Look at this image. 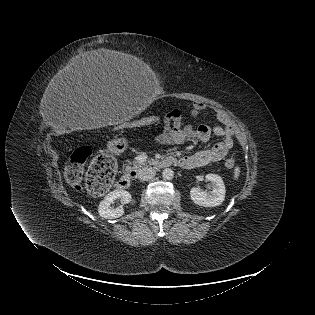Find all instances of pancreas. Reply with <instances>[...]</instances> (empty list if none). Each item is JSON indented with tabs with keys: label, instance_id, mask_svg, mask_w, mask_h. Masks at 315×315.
<instances>
[{
	"label": "pancreas",
	"instance_id": "1",
	"mask_svg": "<svg viewBox=\"0 0 315 315\" xmlns=\"http://www.w3.org/2000/svg\"><path fill=\"white\" fill-rule=\"evenodd\" d=\"M144 165L145 163H140L138 161L133 162L128 161V164L125 165V171L127 172L131 170L139 171Z\"/></svg>",
	"mask_w": 315,
	"mask_h": 315
}]
</instances>
